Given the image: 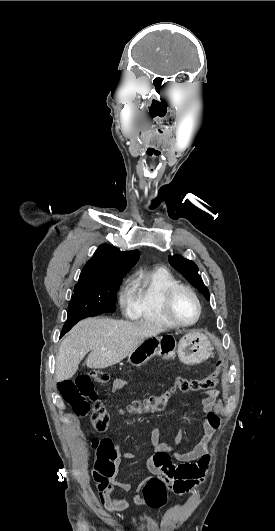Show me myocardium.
Segmentation results:
<instances>
[{
  "instance_id": "myocardium-1",
  "label": "myocardium",
  "mask_w": 275,
  "mask_h": 531,
  "mask_svg": "<svg viewBox=\"0 0 275 531\" xmlns=\"http://www.w3.org/2000/svg\"><path fill=\"white\" fill-rule=\"evenodd\" d=\"M185 291L187 292L188 294H190L192 296V298L194 299V301L196 302V305H197V315L195 317V319L191 322H181L179 321L173 311H172V299L174 297V295L178 292V291ZM162 306H163V310H164V313L165 315L167 316V318L173 323L175 324L176 326L178 327H188V326H192L194 324H196L201 316H202V303L198 297V295L195 293V291L187 286V285H184V284H180V283H175L171 286H169L164 295H163V299H162Z\"/></svg>"
}]
</instances>
